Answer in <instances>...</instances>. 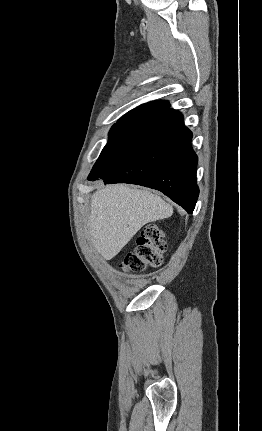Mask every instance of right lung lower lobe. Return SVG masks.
<instances>
[{"instance_id": "98d812e1", "label": "right lung lower lobe", "mask_w": 262, "mask_h": 431, "mask_svg": "<svg viewBox=\"0 0 262 431\" xmlns=\"http://www.w3.org/2000/svg\"><path fill=\"white\" fill-rule=\"evenodd\" d=\"M191 139L182 114L167 109L129 127L97 160L88 180L157 189L191 214L199 195Z\"/></svg>"}]
</instances>
